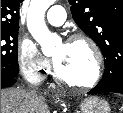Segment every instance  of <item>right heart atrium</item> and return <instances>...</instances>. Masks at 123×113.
<instances>
[{"mask_svg": "<svg viewBox=\"0 0 123 113\" xmlns=\"http://www.w3.org/2000/svg\"><path fill=\"white\" fill-rule=\"evenodd\" d=\"M17 61L22 75L32 84H40L51 70L49 60L26 38L18 42Z\"/></svg>", "mask_w": 123, "mask_h": 113, "instance_id": "1", "label": "right heart atrium"}]
</instances>
